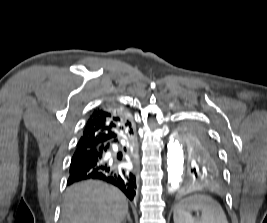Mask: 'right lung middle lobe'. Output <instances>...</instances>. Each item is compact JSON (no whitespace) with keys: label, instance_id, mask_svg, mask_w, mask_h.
Listing matches in <instances>:
<instances>
[{"label":"right lung middle lobe","instance_id":"right-lung-middle-lobe-1","mask_svg":"<svg viewBox=\"0 0 267 223\" xmlns=\"http://www.w3.org/2000/svg\"><path fill=\"white\" fill-rule=\"evenodd\" d=\"M80 153H82V151H76V152L74 153V156H75V155H78V154H80Z\"/></svg>","mask_w":267,"mask_h":223}]
</instances>
